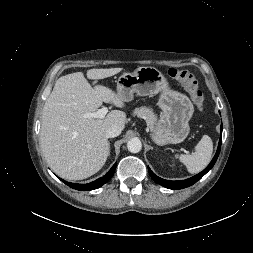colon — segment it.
I'll list each match as a JSON object with an SVG mask.
<instances>
[{"instance_id":"1","label":"colon","mask_w":253,"mask_h":253,"mask_svg":"<svg viewBox=\"0 0 253 253\" xmlns=\"http://www.w3.org/2000/svg\"><path fill=\"white\" fill-rule=\"evenodd\" d=\"M166 73L170 78L178 81L185 88L194 106L198 110H201L203 108L204 98L196 76L188 70L179 68H169Z\"/></svg>"}]
</instances>
